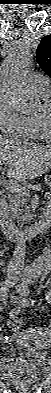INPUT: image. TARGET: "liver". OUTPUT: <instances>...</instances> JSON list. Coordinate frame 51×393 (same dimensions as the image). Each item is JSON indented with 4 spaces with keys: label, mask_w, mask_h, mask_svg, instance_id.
Wrapping results in <instances>:
<instances>
[{
    "label": "liver",
    "mask_w": 51,
    "mask_h": 393,
    "mask_svg": "<svg viewBox=\"0 0 51 393\" xmlns=\"http://www.w3.org/2000/svg\"><path fill=\"white\" fill-rule=\"evenodd\" d=\"M0 165L1 174L9 179L37 178L51 167V146L21 145L1 136Z\"/></svg>",
    "instance_id": "1"
}]
</instances>
